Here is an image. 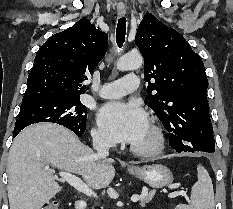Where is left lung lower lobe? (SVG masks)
Segmentation results:
<instances>
[{
	"label": "left lung lower lobe",
	"instance_id": "0a47b994",
	"mask_svg": "<svg viewBox=\"0 0 233 209\" xmlns=\"http://www.w3.org/2000/svg\"><path fill=\"white\" fill-rule=\"evenodd\" d=\"M169 145L176 151V152H196L190 145L181 143L179 139L173 135L169 134ZM203 152V151H201Z\"/></svg>",
	"mask_w": 233,
	"mask_h": 209
}]
</instances>
